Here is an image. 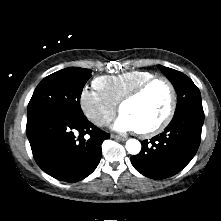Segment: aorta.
Masks as SVG:
<instances>
[{
	"label": "aorta",
	"instance_id": "1",
	"mask_svg": "<svg viewBox=\"0 0 221 221\" xmlns=\"http://www.w3.org/2000/svg\"><path fill=\"white\" fill-rule=\"evenodd\" d=\"M126 150L131 155H137L141 150V144L136 139H129L126 142Z\"/></svg>",
	"mask_w": 221,
	"mask_h": 221
}]
</instances>
